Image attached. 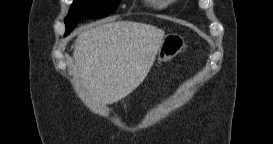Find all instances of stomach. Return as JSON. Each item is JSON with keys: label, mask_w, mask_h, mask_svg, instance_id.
I'll return each mask as SVG.
<instances>
[{"label": "stomach", "mask_w": 273, "mask_h": 144, "mask_svg": "<svg viewBox=\"0 0 273 144\" xmlns=\"http://www.w3.org/2000/svg\"><path fill=\"white\" fill-rule=\"evenodd\" d=\"M184 38L178 34H168L164 37L158 50V63L166 62L176 57L184 48Z\"/></svg>", "instance_id": "1"}]
</instances>
